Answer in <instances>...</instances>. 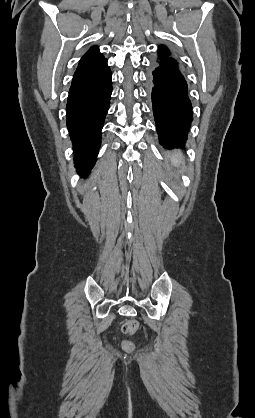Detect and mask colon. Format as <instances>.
Wrapping results in <instances>:
<instances>
[{
    "instance_id": "5ec220e1",
    "label": "colon",
    "mask_w": 255,
    "mask_h": 418,
    "mask_svg": "<svg viewBox=\"0 0 255 418\" xmlns=\"http://www.w3.org/2000/svg\"><path fill=\"white\" fill-rule=\"evenodd\" d=\"M122 332L127 337L134 335L139 328V324L136 320H127L122 324ZM122 348L124 351L128 353H132L135 350V344L133 341L129 340L128 338L123 339L122 341Z\"/></svg>"
}]
</instances>
